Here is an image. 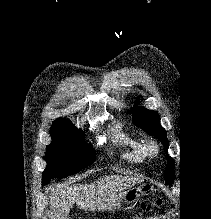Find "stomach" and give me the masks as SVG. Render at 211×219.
I'll list each match as a JSON object with an SVG mask.
<instances>
[{
	"label": "stomach",
	"mask_w": 211,
	"mask_h": 219,
	"mask_svg": "<svg viewBox=\"0 0 211 219\" xmlns=\"http://www.w3.org/2000/svg\"><path fill=\"white\" fill-rule=\"evenodd\" d=\"M152 191L153 186L150 184H142L139 187H130L124 192L122 200L127 204H131L135 202L140 196L147 195Z\"/></svg>",
	"instance_id": "stomach-1"
}]
</instances>
